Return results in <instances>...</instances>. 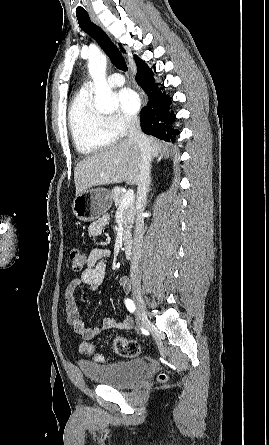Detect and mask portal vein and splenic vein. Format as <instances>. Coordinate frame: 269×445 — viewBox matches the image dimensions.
I'll use <instances>...</instances> for the list:
<instances>
[{
  "instance_id": "obj_1",
  "label": "portal vein and splenic vein",
  "mask_w": 269,
  "mask_h": 445,
  "mask_svg": "<svg viewBox=\"0 0 269 445\" xmlns=\"http://www.w3.org/2000/svg\"><path fill=\"white\" fill-rule=\"evenodd\" d=\"M133 201H134V192H133V190L130 189L125 193V195L122 199L121 208L124 209V208L128 207Z\"/></svg>"
}]
</instances>
